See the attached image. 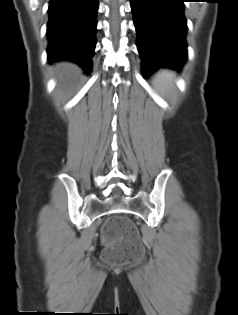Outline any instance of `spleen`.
Returning <instances> with one entry per match:
<instances>
[{
    "label": "spleen",
    "mask_w": 238,
    "mask_h": 315,
    "mask_svg": "<svg viewBox=\"0 0 238 315\" xmlns=\"http://www.w3.org/2000/svg\"><path fill=\"white\" fill-rule=\"evenodd\" d=\"M176 73L167 69L158 71L153 77L155 91L161 96L167 95L175 88Z\"/></svg>",
    "instance_id": "1"
}]
</instances>
